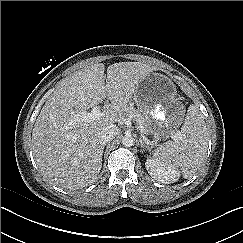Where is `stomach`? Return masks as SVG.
Wrapping results in <instances>:
<instances>
[{
	"label": "stomach",
	"mask_w": 243,
	"mask_h": 243,
	"mask_svg": "<svg viewBox=\"0 0 243 243\" xmlns=\"http://www.w3.org/2000/svg\"><path fill=\"white\" fill-rule=\"evenodd\" d=\"M134 101L149 124L148 134L157 141L172 138L182 124L185 108L170 78L149 73L136 87Z\"/></svg>",
	"instance_id": "0dacf381"
}]
</instances>
